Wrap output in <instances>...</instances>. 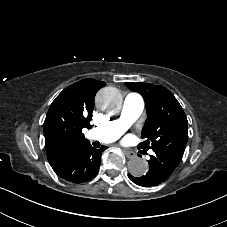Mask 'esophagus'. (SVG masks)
<instances>
[{
	"mask_svg": "<svg viewBox=\"0 0 227 227\" xmlns=\"http://www.w3.org/2000/svg\"><path fill=\"white\" fill-rule=\"evenodd\" d=\"M124 154L126 155L127 158H134L136 157V153L133 151L125 150L123 149Z\"/></svg>",
	"mask_w": 227,
	"mask_h": 227,
	"instance_id": "obj_1",
	"label": "esophagus"
}]
</instances>
